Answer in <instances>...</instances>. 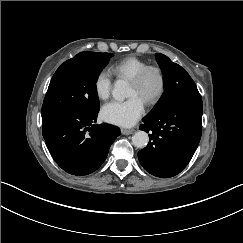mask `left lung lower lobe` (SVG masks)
<instances>
[{"label":"left lung lower lobe","instance_id":"left-lung-lower-lobe-1","mask_svg":"<svg viewBox=\"0 0 243 243\" xmlns=\"http://www.w3.org/2000/svg\"><path fill=\"white\" fill-rule=\"evenodd\" d=\"M201 98H180L157 116L144 118L140 129L150 132L148 145L138 152L150 174L169 178L179 174L194 155L202 133Z\"/></svg>","mask_w":243,"mask_h":243}]
</instances>
